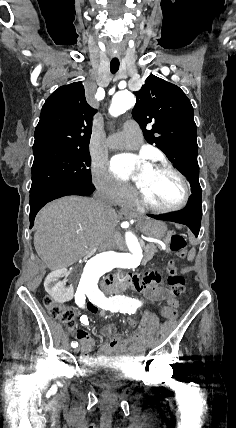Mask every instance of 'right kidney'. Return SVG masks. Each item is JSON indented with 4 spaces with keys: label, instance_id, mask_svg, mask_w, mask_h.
<instances>
[{
    "label": "right kidney",
    "instance_id": "right-kidney-1",
    "mask_svg": "<svg viewBox=\"0 0 236 428\" xmlns=\"http://www.w3.org/2000/svg\"><path fill=\"white\" fill-rule=\"evenodd\" d=\"M67 269H47L44 285L47 286V291L51 293V300L56 302L57 306H64L65 302L70 300L74 290L72 283H61L68 277Z\"/></svg>",
    "mask_w": 236,
    "mask_h": 428
}]
</instances>
